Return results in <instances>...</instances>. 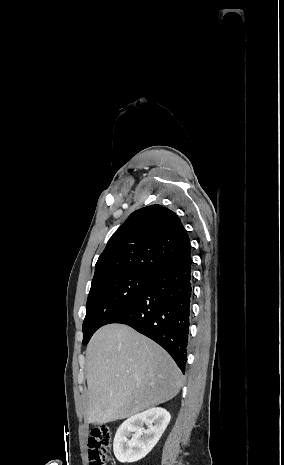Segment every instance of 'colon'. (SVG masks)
Returning <instances> with one entry per match:
<instances>
[{"mask_svg":"<svg viewBox=\"0 0 284 465\" xmlns=\"http://www.w3.org/2000/svg\"><path fill=\"white\" fill-rule=\"evenodd\" d=\"M112 432L109 428H92L87 437L89 465L105 464V447L111 440Z\"/></svg>","mask_w":284,"mask_h":465,"instance_id":"1","label":"colon"}]
</instances>
